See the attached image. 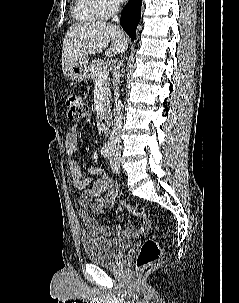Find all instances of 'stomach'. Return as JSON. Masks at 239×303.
Returning a JSON list of instances; mask_svg holds the SVG:
<instances>
[{
	"label": "stomach",
	"mask_w": 239,
	"mask_h": 303,
	"mask_svg": "<svg viewBox=\"0 0 239 303\" xmlns=\"http://www.w3.org/2000/svg\"><path fill=\"white\" fill-rule=\"evenodd\" d=\"M67 75L73 81H85L89 78V72L87 67V59L80 58L67 67Z\"/></svg>",
	"instance_id": "1"
}]
</instances>
